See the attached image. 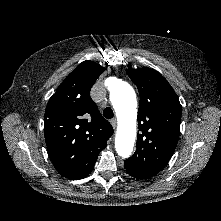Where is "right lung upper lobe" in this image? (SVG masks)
Segmentation results:
<instances>
[{"instance_id": "cb5924a9", "label": "right lung upper lobe", "mask_w": 221, "mask_h": 221, "mask_svg": "<svg viewBox=\"0 0 221 221\" xmlns=\"http://www.w3.org/2000/svg\"><path fill=\"white\" fill-rule=\"evenodd\" d=\"M104 68L93 61L80 63L50 98L44 115V134L56 170L68 179L91 173L98 154L113 134L90 97Z\"/></svg>"}]
</instances>
